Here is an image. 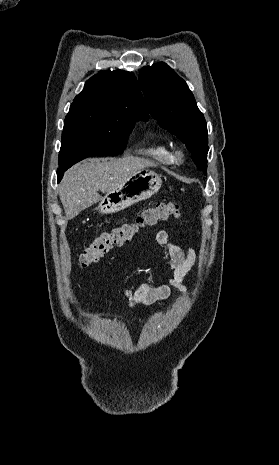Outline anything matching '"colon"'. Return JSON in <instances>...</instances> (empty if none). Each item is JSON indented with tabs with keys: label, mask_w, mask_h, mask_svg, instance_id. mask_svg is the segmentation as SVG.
I'll list each match as a JSON object with an SVG mask.
<instances>
[{
	"label": "colon",
	"mask_w": 279,
	"mask_h": 465,
	"mask_svg": "<svg viewBox=\"0 0 279 465\" xmlns=\"http://www.w3.org/2000/svg\"><path fill=\"white\" fill-rule=\"evenodd\" d=\"M179 216L180 206L178 204L158 202L145 209L133 222L116 226L96 236L81 253L79 264L83 268L89 267L98 262L113 247L130 242L141 229L153 226L169 217L178 218Z\"/></svg>",
	"instance_id": "colon-1"
}]
</instances>
